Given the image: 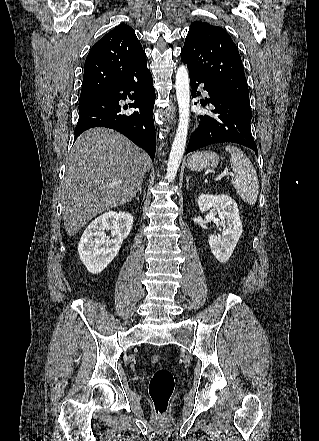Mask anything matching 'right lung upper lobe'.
<instances>
[{"label":"right lung upper lobe","instance_id":"1","mask_svg":"<svg viewBox=\"0 0 319 441\" xmlns=\"http://www.w3.org/2000/svg\"><path fill=\"white\" fill-rule=\"evenodd\" d=\"M147 70L146 54L134 30L118 25L89 51L79 102Z\"/></svg>","mask_w":319,"mask_h":441}]
</instances>
